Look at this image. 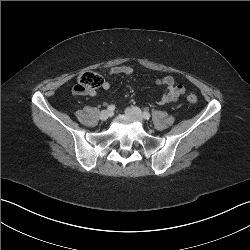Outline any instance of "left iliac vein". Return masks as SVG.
<instances>
[{
  "label": "left iliac vein",
  "instance_id": "4c4485c4",
  "mask_svg": "<svg viewBox=\"0 0 250 250\" xmlns=\"http://www.w3.org/2000/svg\"><path fill=\"white\" fill-rule=\"evenodd\" d=\"M125 113L127 115L135 117L137 120H139L140 122L144 123L143 114H142L141 110L138 107L127 108L125 110Z\"/></svg>",
  "mask_w": 250,
  "mask_h": 250
}]
</instances>
